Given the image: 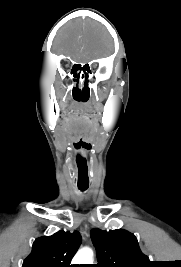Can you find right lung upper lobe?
<instances>
[{
    "instance_id": "right-lung-upper-lobe-1",
    "label": "right lung upper lobe",
    "mask_w": 181,
    "mask_h": 267,
    "mask_svg": "<svg viewBox=\"0 0 181 267\" xmlns=\"http://www.w3.org/2000/svg\"><path fill=\"white\" fill-rule=\"evenodd\" d=\"M80 244L81 236L77 231H59L37 238L22 267H71V259Z\"/></svg>"
}]
</instances>
